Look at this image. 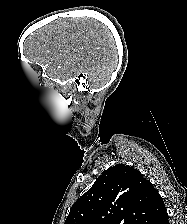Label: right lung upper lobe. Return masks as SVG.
<instances>
[{"label": "right lung upper lobe", "mask_w": 187, "mask_h": 224, "mask_svg": "<svg viewBox=\"0 0 187 224\" xmlns=\"http://www.w3.org/2000/svg\"><path fill=\"white\" fill-rule=\"evenodd\" d=\"M166 213L152 183L137 169L118 164L72 205L64 224H155Z\"/></svg>", "instance_id": "cb5924a9"}]
</instances>
